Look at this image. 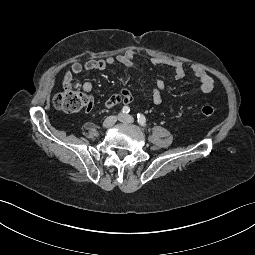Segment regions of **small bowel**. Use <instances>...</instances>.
Returning <instances> with one entry per match:
<instances>
[{
  "instance_id": "obj_1",
  "label": "small bowel",
  "mask_w": 255,
  "mask_h": 255,
  "mask_svg": "<svg viewBox=\"0 0 255 255\" xmlns=\"http://www.w3.org/2000/svg\"><path fill=\"white\" fill-rule=\"evenodd\" d=\"M141 55L140 52L136 50H128L123 54L117 56H110L103 60H90L84 64L80 62H75L72 64L71 69L65 73V81H70L73 76H77L84 71H103L108 66L112 65H123L130 68H137L136 56ZM154 66H163L170 68L176 79H182L185 76V69L180 61L176 60H162L159 58H149ZM193 75L198 79L200 83V88L204 93H209L214 88L213 78L200 67L192 68ZM83 90L87 94L93 91V84L87 81L83 84ZM165 90V82L161 78H154L151 99L156 105H159L163 101V91ZM133 101V95L126 85H122L120 92L107 99L105 102V107L107 109H112L118 104L129 105Z\"/></svg>"
}]
</instances>
